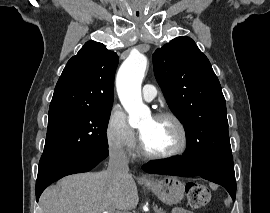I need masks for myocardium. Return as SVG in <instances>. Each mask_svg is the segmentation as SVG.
I'll list each match as a JSON object with an SVG mask.
<instances>
[{"label": "myocardium", "instance_id": "obj_1", "mask_svg": "<svg viewBox=\"0 0 270 213\" xmlns=\"http://www.w3.org/2000/svg\"><path fill=\"white\" fill-rule=\"evenodd\" d=\"M153 118L156 120H160V119L171 120L176 125L177 129L180 132L181 142L177 148H175L174 150L170 152L152 153L147 150L142 140H140L139 149H140V154L142 155V157L149 160H165V159H171V158H175L182 155L187 150V147H188V133L183 122L175 114L171 112H167V111L157 112L156 114L153 115Z\"/></svg>", "mask_w": 270, "mask_h": 213}]
</instances>
